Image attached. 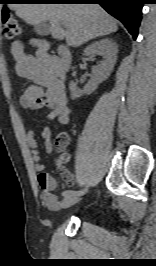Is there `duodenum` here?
Returning <instances> with one entry per match:
<instances>
[{
    "label": "duodenum",
    "mask_w": 156,
    "mask_h": 266,
    "mask_svg": "<svg viewBox=\"0 0 156 266\" xmlns=\"http://www.w3.org/2000/svg\"><path fill=\"white\" fill-rule=\"evenodd\" d=\"M72 62V53L70 49L61 45L58 48V57L55 59L54 67L56 70V74L59 78L63 79L66 72L68 71Z\"/></svg>",
    "instance_id": "410a0bca"
}]
</instances>
